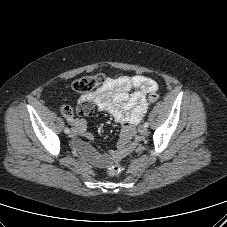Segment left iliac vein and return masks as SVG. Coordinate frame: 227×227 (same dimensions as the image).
Masks as SVG:
<instances>
[{"mask_svg":"<svg viewBox=\"0 0 227 227\" xmlns=\"http://www.w3.org/2000/svg\"><path fill=\"white\" fill-rule=\"evenodd\" d=\"M147 128L145 127V126H140L139 127V133L141 134V135H145V134H147Z\"/></svg>","mask_w":227,"mask_h":227,"instance_id":"4c4485c4","label":"left iliac vein"}]
</instances>
